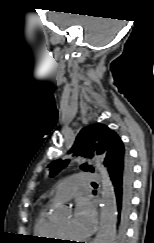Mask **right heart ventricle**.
Here are the masks:
<instances>
[{
	"label": "right heart ventricle",
	"mask_w": 154,
	"mask_h": 243,
	"mask_svg": "<svg viewBox=\"0 0 154 243\" xmlns=\"http://www.w3.org/2000/svg\"><path fill=\"white\" fill-rule=\"evenodd\" d=\"M56 225L53 221H51L48 217L47 209L43 208L37 215L34 231L38 237H42L49 240H57L59 239Z\"/></svg>",
	"instance_id": "1"
}]
</instances>
